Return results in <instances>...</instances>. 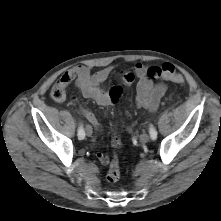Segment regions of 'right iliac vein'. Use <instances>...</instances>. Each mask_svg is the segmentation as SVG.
<instances>
[{
    "label": "right iliac vein",
    "instance_id": "1",
    "mask_svg": "<svg viewBox=\"0 0 221 221\" xmlns=\"http://www.w3.org/2000/svg\"><path fill=\"white\" fill-rule=\"evenodd\" d=\"M87 136H91L93 133L92 127L90 125H87L85 128Z\"/></svg>",
    "mask_w": 221,
    "mask_h": 221
}]
</instances>
